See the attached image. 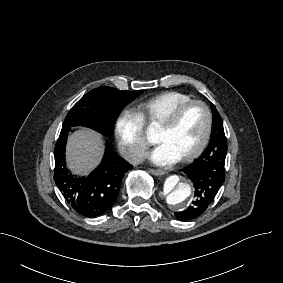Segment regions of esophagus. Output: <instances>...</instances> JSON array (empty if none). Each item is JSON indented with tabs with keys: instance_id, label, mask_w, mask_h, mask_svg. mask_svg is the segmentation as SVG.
<instances>
[{
	"instance_id": "1",
	"label": "esophagus",
	"mask_w": 283,
	"mask_h": 283,
	"mask_svg": "<svg viewBox=\"0 0 283 283\" xmlns=\"http://www.w3.org/2000/svg\"><path fill=\"white\" fill-rule=\"evenodd\" d=\"M149 171L156 176L164 175L165 171L159 169H149Z\"/></svg>"
}]
</instances>
